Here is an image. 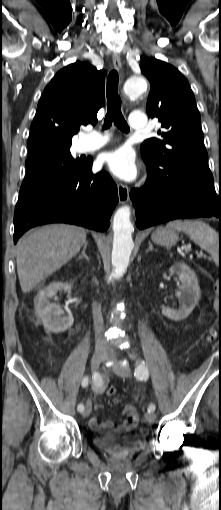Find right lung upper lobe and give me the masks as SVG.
Wrapping results in <instances>:
<instances>
[{"mask_svg": "<svg viewBox=\"0 0 221 510\" xmlns=\"http://www.w3.org/2000/svg\"><path fill=\"white\" fill-rule=\"evenodd\" d=\"M104 72L77 61L61 69L40 98L27 141L29 152L70 147L81 125L96 124L103 106Z\"/></svg>", "mask_w": 221, "mask_h": 510, "instance_id": "cb5924a9", "label": "right lung upper lobe"}]
</instances>
